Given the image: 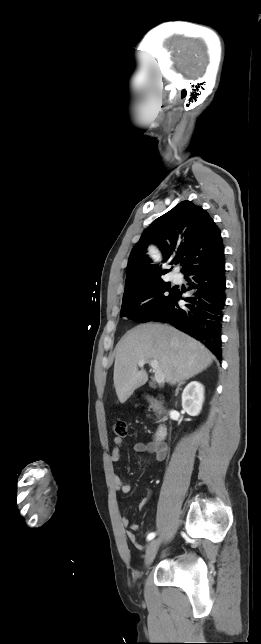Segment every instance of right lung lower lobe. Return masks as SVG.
Instances as JSON below:
<instances>
[{
  "label": "right lung lower lobe",
  "instance_id": "obj_1",
  "mask_svg": "<svg viewBox=\"0 0 261 644\" xmlns=\"http://www.w3.org/2000/svg\"><path fill=\"white\" fill-rule=\"evenodd\" d=\"M182 272L193 276L194 282L188 277L186 279L191 283V289H197L195 296L183 298L182 291L178 290L171 303L153 321L170 323L198 339L221 360V327L226 300L224 256L211 263L188 267ZM181 299L191 304L179 306Z\"/></svg>",
  "mask_w": 261,
  "mask_h": 644
}]
</instances>
